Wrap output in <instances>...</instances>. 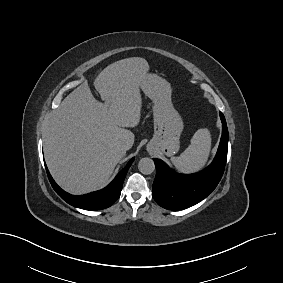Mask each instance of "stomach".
<instances>
[{
  "instance_id": "1",
  "label": "stomach",
  "mask_w": 283,
  "mask_h": 283,
  "mask_svg": "<svg viewBox=\"0 0 283 283\" xmlns=\"http://www.w3.org/2000/svg\"><path fill=\"white\" fill-rule=\"evenodd\" d=\"M140 87L154 103V135L147 144V150L172 156L180 148L179 139L184 125L180 114L172 104L171 86L165 79L147 74Z\"/></svg>"
}]
</instances>
